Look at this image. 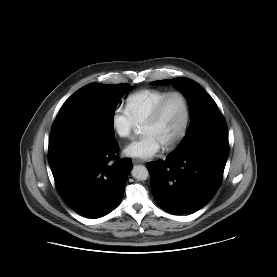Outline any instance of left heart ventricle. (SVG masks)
Instances as JSON below:
<instances>
[{
  "label": "left heart ventricle",
  "mask_w": 277,
  "mask_h": 277,
  "mask_svg": "<svg viewBox=\"0 0 277 277\" xmlns=\"http://www.w3.org/2000/svg\"><path fill=\"white\" fill-rule=\"evenodd\" d=\"M185 118V106L183 100L174 96L166 103L160 119L154 124L144 125V134L154 135L165 146L171 142L180 132Z\"/></svg>",
  "instance_id": "obj_1"
}]
</instances>
